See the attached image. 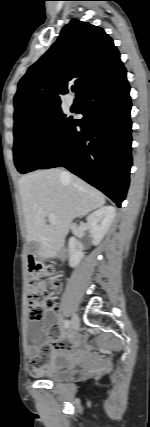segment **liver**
Wrapping results in <instances>:
<instances>
[{
	"label": "liver",
	"mask_w": 150,
	"mask_h": 427,
	"mask_svg": "<svg viewBox=\"0 0 150 427\" xmlns=\"http://www.w3.org/2000/svg\"><path fill=\"white\" fill-rule=\"evenodd\" d=\"M58 168L38 170L22 176L19 191L27 230V241L39 245L38 255L53 258L64 245L71 222L105 204V196L77 176H62ZM53 213L57 223L48 225Z\"/></svg>",
	"instance_id": "liver-1"
}]
</instances>
